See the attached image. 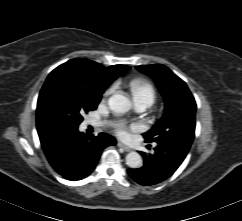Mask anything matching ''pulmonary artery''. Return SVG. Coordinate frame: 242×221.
<instances>
[{"label": "pulmonary artery", "instance_id": "pulmonary-artery-1", "mask_svg": "<svg viewBox=\"0 0 242 221\" xmlns=\"http://www.w3.org/2000/svg\"><path fill=\"white\" fill-rule=\"evenodd\" d=\"M134 104H135V109L139 112L145 110L146 108H148L151 104L149 101L147 100H134ZM92 125H98L99 123L95 122V121H91Z\"/></svg>", "mask_w": 242, "mask_h": 221}]
</instances>
